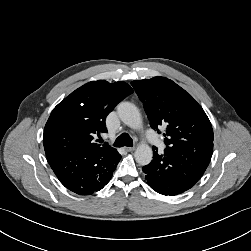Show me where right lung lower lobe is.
Listing matches in <instances>:
<instances>
[{"label":"right lung lower lobe","instance_id":"98d812e1","mask_svg":"<svg viewBox=\"0 0 251 251\" xmlns=\"http://www.w3.org/2000/svg\"><path fill=\"white\" fill-rule=\"evenodd\" d=\"M46 156L60 182L80 195L101 190L111 179L121 159L117 152L113 163L106 164L102 154L70 147L50 150L46 152Z\"/></svg>","mask_w":251,"mask_h":251}]
</instances>
